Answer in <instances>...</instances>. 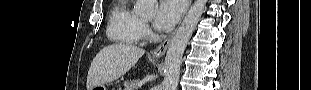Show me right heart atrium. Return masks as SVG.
<instances>
[{
	"label": "right heart atrium",
	"mask_w": 311,
	"mask_h": 90,
	"mask_svg": "<svg viewBox=\"0 0 311 90\" xmlns=\"http://www.w3.org/2000/svg\"><path fill=\"white\" fill-rule=\"evenodd\" d=\"M141 33L142 35L149 33V25L146 21H141Z\"/></svg>",
	"instance_id": "right-heart-atrium-1"
}]
</instances>
